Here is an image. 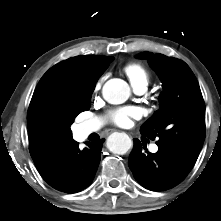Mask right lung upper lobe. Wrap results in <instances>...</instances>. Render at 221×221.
<instances>
[{
  "label": "right lung upper lobe",
  "instance_id": "1",
  "mask_svg": "<svg viewBox=\"0 0 221 221\" xmlns=\"http://www.w3.org/2000/svg\"><path fill=\"white\" fill-rule=\"evenodd\" d=\"M111 61L112 57L107 56L72 57L50 68L40 79L27 113L29 150L35 164L73 140L72 135L55 141L46 140L41 134L43 125L55 122L66 128L65 108L68 101L99 78Z\"/></svg>",
  "mask_w": 221,
  "mask_h": 221
}]
</instances>
